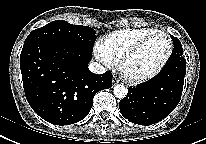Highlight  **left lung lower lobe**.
I'll return each mask as SVG.
<instances>
[{
	"label": "left lung lower lobe",
	"mask_w": 206,
	"mask_h": 144,
	"mask_svg": "<svg viewBox=\"0 0 206 144\" xmlns=\"http://www.w3.org/2000/svg\"><path fill=\"white\" fill-rule=\"evenodd\" d=\"M186 74V61L172 53L166 65L153 79L130 87L119 103L121 114L139 125H152L167 117L178 105Z\"/></svg>",
	"instance_id": "0a47b994"
}]
</instances>
